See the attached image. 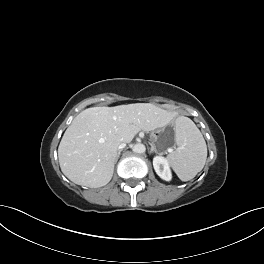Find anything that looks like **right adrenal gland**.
Returning <instances> with one entry per match:
<instances>
[{"instance_id":"right-adrenal-gland-1","label":"right adrenal gland","mask_w":264,"mask_h":264,"mask_svg":"<svg viewBox=\"0 0 264 264\" xmlns=\"http://www.w3.org/2000/svg\"><path fill=\"white\" fill-rule=\"evenodd\" d=\"M121 151H122V150H119V151H118L116 162H117V160L119 159V156H120Z\"/></svg>"}]
</instances>
